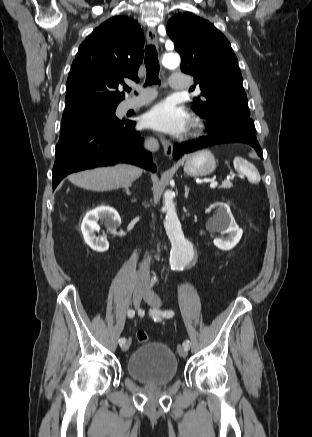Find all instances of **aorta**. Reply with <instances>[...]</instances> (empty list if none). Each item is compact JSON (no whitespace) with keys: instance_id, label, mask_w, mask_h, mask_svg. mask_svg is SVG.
Segmentation results:
<instances>
[{"instance_id":"aorta-1","label":"aorta","mask_w":312,"mask_h":437,"mask_svg":"<svg viewBox=\"0 0 312 437\" xmlns=\"http://www.w3.org/2000/svg\"><path fill=\"white\" fill-rule=\"evenodd\" d=\"M179 62L180 57L174 53L165 54L162 60L163 65L168 68L178 66ZM163 208L166 211L164 227L172 245L170 266L176 269L184 266L193 258L194 250L192 244L184 237L171 191L164 193Z\"/></svg>"}]
</instances>
